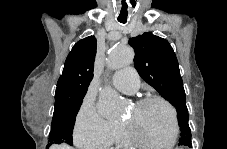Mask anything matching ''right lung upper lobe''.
Masks as SVG:
<instances>
[{"instance_id":"cb5924a9","label":"right lung upper lobe","mask_w":227,"mask_h":149,"mask_svg":"<svg viewBox=\"0 0 227 149\" xmlns=\"http://www.w3.org/2000/svg\"><path fill=\"white\" fill-rule=\"evenodd\" d=\"M96 46L94 36L86 37L73 46L57 82L56 101L84 98L93 78Z\"/></svg>"}]
</instances>
